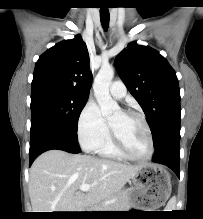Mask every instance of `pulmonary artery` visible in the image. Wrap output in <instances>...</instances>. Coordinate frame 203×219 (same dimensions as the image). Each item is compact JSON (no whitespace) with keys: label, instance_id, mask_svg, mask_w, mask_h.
I'll list each match as a JSON object with an SVG mask.
<instances>
[{"label":"pulmonary artery","instance_id":"pulmonary-artery-1","mask_svg":"<svg viewBox=\"0 0 203 219\" xmlns=\"http://www.w3.org/2000/svg\"><path fill=\"white\" fill-rule=\"evenodd\" d=\"M110 93L115 98H122L126 94V87L122 81H114L110 86Z\"/></svg>","mask_w":203,"mask_h":219}]
</instances>
